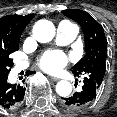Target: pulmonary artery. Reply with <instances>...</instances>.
<instances>
[{"mask_svg": "<svg viewBox=\"0 0 117 117\" xmlns=\"http://www.w3.org/2000/svg\"><path fill=\"white\" fill-rule=\"evenodd\" d=\"M79 28L77 25L70 21H61L57 26L56 42L61 45L71 43L77 36ZM25 63L18 64V68H25Z\"/></svg>", "mask_w": 117, "mask_h": 117, "instance_id": "pulmonary-artery-1", "label": "pulmonary artery"}]
</instances>
